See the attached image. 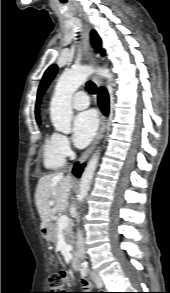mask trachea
<instances>
[{"instance_id":"3493384b","label":"trachea","mask_w":170,"mask_h":293,"mask_svg":"<svg viewBox=\"0 0 170 293\" xmlns=\"http://www.w3.org/2000/svg\"><path fill=\"white\" fill-rule=\"evenodd\" d=\"M86 90L90 93V94H95L97 92V88H96V85L91 82V81H88L86 83V86H85Z\"/></svg>"}]
</instances>
